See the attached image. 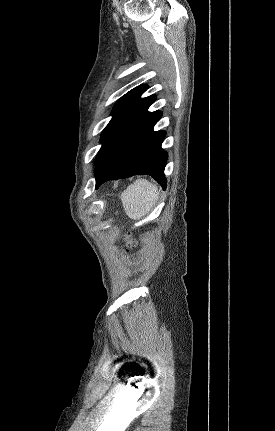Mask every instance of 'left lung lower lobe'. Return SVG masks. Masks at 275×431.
<instances>
[{
	"mask_svg": "<svg viewBox=\"0 0 275 431\" xmlns=\"http://www.w3.org/2000/svg\"><path fill=\"white\" fill-rule=\"evenodd\" d=\"M162 117L159 114L143 128L117 155L112 164L96 174V189L106 181L127 178L133 175H150L166 188L164 168L168 159L161 144L164 131H153L154 125Z\"/></svg>",
	"mask_w": 275,
	"mask_h": 431,
	"instance_id": "obj_1",
	"label": "left lung lower lobe"
}]
</instances>
